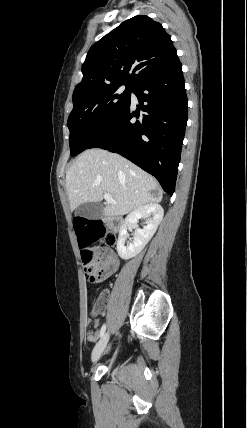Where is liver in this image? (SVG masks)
I'll return each mask as SVG.
<instances>
[{"mask_svg": "<svg viewBox=\"0 0 247 428\" xmlns=\"http://www.w3.org/2000/svg\"><path fill=\"white\" fill-rule=\"evenodd\" d=\"M66 190L73 211L87 202H107L103 214L119 216L150 203H159L162 192L157 181L124 157L103 149L84 151L66 172ZM151 191H158L153 195Z\"/></svg>", "mask_w": 247, "mask_h": 428, "instance_id": "obj_1", "label": "liver"}]
</instances>
